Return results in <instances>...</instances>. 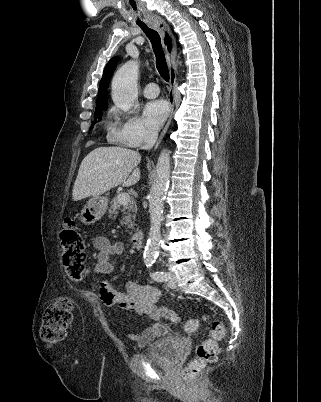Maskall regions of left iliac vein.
Instances as JSON below:
<instances>
[{"label": "left iliac vein", "instance_id": "1", "mask_svg": "<svg viewBox=\"0 0 321 402\" xmlns=\"http://www.w3.org/2000/svg\"><path fill=\"white\" fill-rule=\"evenodd\" d=\"M168 274L170 275L169 281H168V286L170 288H176L177 286V281H176V276L174 274V272L170 271L168 272Z\"/></svg>", "mask_w": 321, "mask_h": 402}]
</instances>
